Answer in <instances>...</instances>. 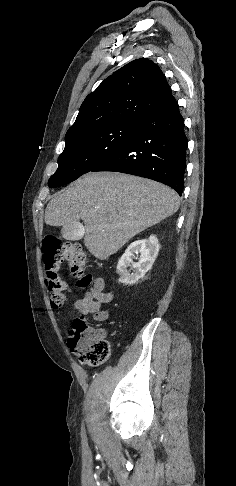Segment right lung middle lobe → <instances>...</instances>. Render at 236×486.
<instances>
[{"mask_svg":"<svg viewBox=\"0 0 236 486\" xmlns=\"http://www.w3.org/2000/svg\"><path fill=\"white\" fill-rule=\"evenodd\" d=\"M136 128L137 123L115 124L67 138L58 158V169L48 181L49 187L66 185L93 170L128 143Z\"/></svg>","mask_w":236,"mask_h":486,"instance_id":"dd1d6c3e","label":"right lung middle lobe"}]
</instances>
